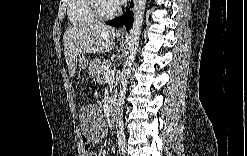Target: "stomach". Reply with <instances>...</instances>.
<instances>
[{
	"instance_id": "stomach-1",
	"label": "stomach",
	"mask_w": 247,
	"mask_h": 156,
	"mask_svg": "<svg viewBox=\"0 0 247 156\" xmlns=\"http://www.w3.org/2000/svg\"><path fill=\"white\" fill-rule=\"evenodd\" d=\"M120 39L122 38V37H120V36H118ZM99 62V60H94V61H92L91 62V64H90V66H89V69L91 70V69H93L94 67H95V65L97 64ZM79 67L81 68V69H85V68H87L88 67V61L84 58V57H80L79 58Z\"/></svg>"
}]
</instances>
